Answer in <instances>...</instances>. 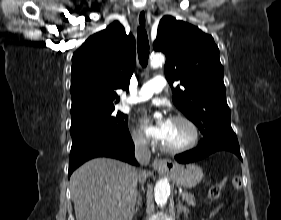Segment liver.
<instances>
[{"label":"liver","instance_id":"obj_1","mask_svg":"<svg viewBox=\"0 0 281 220\" xmlns=\"http://www.w3.org/2000/svg\"><path fill=\"white\" fill-rule=\"evenodd\" d=\"M138 179L136 168L115 159L84 163L70 178L76 220H132Z\"/></svg>","mask_w":281,"mask_h":220}]
</instances>
